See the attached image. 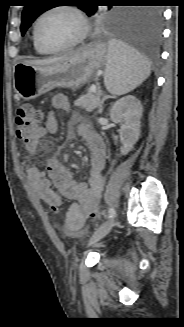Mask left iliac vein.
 <instances>
[{
	"instance_id": "obj_1",
	"label": "left iliac vein",
	"mask_w": 184,
	"mask_h": 327,
	"mask_svg": "<svg viewBox=\"0 0 184 327\" xmlns=\"http://www.w3.org/2000/svg\"><path fill=\"white\" fill-rule=\"evenodd\" d=\"M115 224V219H110L106 224H104L102 227H100L90 238L88 246L94 245L99 240H101L103 237H105L112 227Z\"/></svg>"
}]
</instances>
